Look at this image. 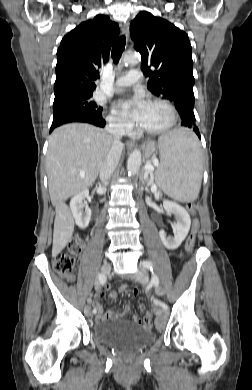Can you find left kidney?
Instances as JSON below:
<instances>
[{
  "label": "left kidney",
  "mask_w": 252,
  "mask_h": 390,
  "mask_svg": "<svg viewBox=\"0 0 252 390\" xmlns=\"http://www.w3.org/2000/svg\"><path fill=\"white\" fill-rule=\"evenodd\" d=\"M163 207L168 214H174L177 217V221L174 224V237H167L163 230H160L159 235L163 245L169 250L177 249L183 240L188 235L191 225V219L188 212L179 204L164 200Z\"/></svg>",
  "instance_id": "5707ae66"
}]
</instances>
